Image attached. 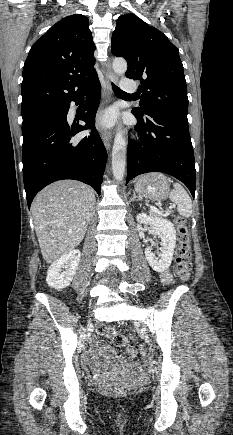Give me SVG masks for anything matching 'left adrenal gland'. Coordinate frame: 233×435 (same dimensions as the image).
Here are the masks:
<instances>
[{"instance_id": "left-adrenal-gland-1", "label": "left adrenal gland", "mask_w": 233, "mask_h": 435, "mask_svg": "<svg viewBox=\"0 0 233 435\" xmlns=\"http://www.w3.org/2000/svg\"><path fill=\"white\" fill-rule=\"evenodd\" d=\"M136 198H137V196H136V193H135V192H133L132 202H133V201H135V200H136ZM138 200H140V199L138 198Z\"/></svg>"}]
</instances>
